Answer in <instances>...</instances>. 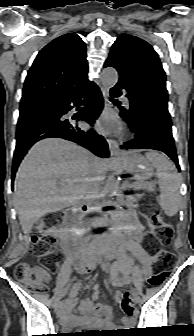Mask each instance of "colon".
Segmentation results:
<instances>
[{
	"label": "colon",
	"mask_w": 194,
	"mask_h": 336,
	"mask_svg": "<svg viewBox=\"0 0 194 336\" xmlns=\"http://www.w3.org/2000/svg\"><path fill=\"white\" fill-rule=\"evenodd\" d=\"M144 213L147 216L151 232L145 238V246L153 257H160L164 269L151 274L147 283L151 286L160 284L166 277L167 267L171 262V254L165 251L162 246L171 241L173 236L172 228L162 219L157 203L151 199L143 204ZM54 218L47 217L40 220L35 232L31 236L32 251L41 257L52 255V232L51 227ZM15 277L30 289L36 292H45L49 280V273L44 266L32 265L27 261L19 262L15 268ZM132 312V307H129Z\"/></svg>",
	"instance_id": "colon-1"
}]
</instances>
